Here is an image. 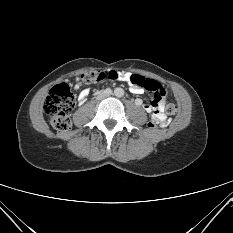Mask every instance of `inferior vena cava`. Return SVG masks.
<instances>
[{"label":"inferior vena cava","instance_id":"1","mask_svg":"<svg viewBox=\"0 0 233 233\" xmlns=\"http://www.w3.org/2000/svg\"><path fill=\"white\" fill-rule=\"evenodd\" d=\"M112 92H113L112 89L108 87V88L105 89V91H102L101 93H99V94H98V97H99V98H104V97H106V96L111 95Z\"/></svg>","mask_w":233,"mask_h":233}]
</instances>
